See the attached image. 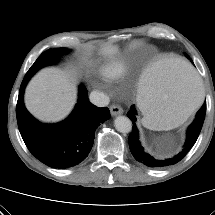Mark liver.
<instances>
[{"instance_id":"liver-1","label":"liver","mask_w":215,"mask_h":215,"mask_svg":"<svg viewBox=\"0 0 215 215\" xmlns=\"http://www.w3.org/2000/svg\"><path fill=\"white\" fill-rule=\"evenodd\" d=\"M114 46H106L103 53L113 55ZM75 84L63 72L55 68H44L29 82L25 91L28 111L43 122H58L64 119L76 103Z\"/></svg>"}]
</instances>
